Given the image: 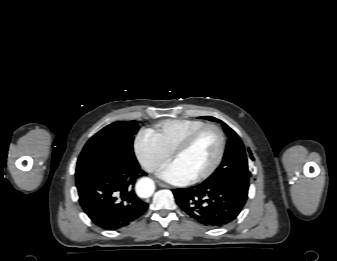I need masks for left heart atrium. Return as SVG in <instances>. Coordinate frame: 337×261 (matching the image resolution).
Here are the masks:
<instances>
[{
  "mask_svg": "<svg viewBox=\"0 0 337 261\" xmlns=\"http://www.w3.org/2000/svg\"><path fill=\"white\" fill-rule=\"evenodd\" d=\"M158 176L174 185H185L192 180V177L176 161L164 165L158 171Z\"/></svg>",
  "mask_w": 337,
  "mask_h": 261,
  "instance_id": "39dd6f15",
  "label": "left heart atrium"
}]
</instances>
